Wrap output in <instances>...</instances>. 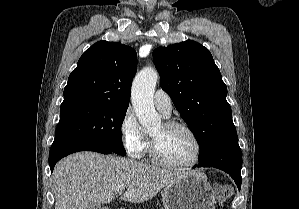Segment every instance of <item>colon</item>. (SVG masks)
<instances>
[{
    "label": "colon",
    "mask_w": 299,
    "mask_h": 209,
    "mask_svg": "<svg viewBox=\"0 0 299 209\" xmlns=\"http://www.w3.org/2000/svg\"><path fill=\"white\" fill-rule=\"evenodd\" d=\"M213 190L220 204H223L232 194V188L227 184H215Z\"/></svg>",
    "instance_id": "5ec220e1"
}]
</instances>
